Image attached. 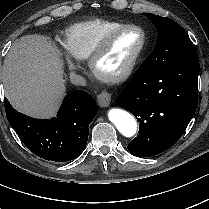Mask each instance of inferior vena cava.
Instances as JSON below:
<instances>
[{
    "mask_svg": "<svg viewBox=\"0 0 209 209\" xmlns=\"http://www.w3.org/2000/svg\"><path fill=\"white\" fill-rule=\"evenodd\" d=\"M70 81L74 85H80V86H85L86 85V80L83 76L77 75L75 73L70 74Z\"/></svg>",
    "mask_w": 209,
    "mask_h": 209,
    "instance_id": "inferior-vena-cava-1",
    "label": "inferior vena cava"
}]
</instances>
